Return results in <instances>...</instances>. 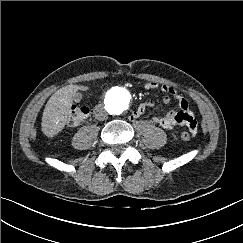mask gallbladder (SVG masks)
I'll return each instance as SVG.
<instances>
[{
    "label": "gallbladder",
    "instance_id": "bac80fb5",
    "mask_svg": "<svg viewBox=\"0 0 243 243\" xmlns=\"http://www.w3.org/2000/svg\"><path fill=\"white\" fill-rule=\"evenodd\" d=\"M82 98V95L80 93H76L73 97L74 101L79 102Z\"/></svg>",
    "mask_w": 243,
    "mask_h": 243
}]
</instances>
